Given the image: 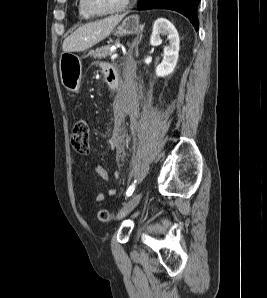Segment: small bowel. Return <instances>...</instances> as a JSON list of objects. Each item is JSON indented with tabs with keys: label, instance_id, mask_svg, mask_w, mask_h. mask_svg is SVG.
<instances>
[{
	"label": "small bowel",
	"instance_id": "c3829d8e",
	"mask_svg": "<svg viewBox=\"0 0 267 298\" xmlns=\"http://www.w3.org/2000/svg\"><path fill=\"white\" fill-rule=\"evenodd\" d=\"M100 67L103 69V71L106 72L112 67L111 64L107 63V62H100L99 63ZM123 109L127 110L131 116H134L136 114V108L133 104H129L127 106H124ZM92 172L94 175L98 176L101 179L107 180L109 177V174L107 172V170L102 166V165H95L92 168ZM116 189H109L108 191V195L109 196H114L116 194ZM106 199V195L102 192H99L96 195V201L97 202H103Z\"/></svg>",
	"mask_w": 267,
	"mask_h": 298
}]
</instances>
